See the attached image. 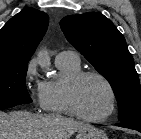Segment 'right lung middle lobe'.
<instances>
[{
    "label": "right lung middle lobe",
    "instance_id": "right-lung-middle-lobe-1",
    "mask_svg": "<svg viewBox=\"0 0 141 139\" xmlns=\"http://www.w3.org/2000/svg\"><path fill=\"white\" fill-rule=\"evenodd\" d=\"M27 63L0 64V110L31 103L25 78Z\"/></svg>",
    "mask_w": 141,
    "mask_h": 139
}]
</instances>
